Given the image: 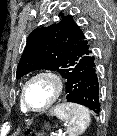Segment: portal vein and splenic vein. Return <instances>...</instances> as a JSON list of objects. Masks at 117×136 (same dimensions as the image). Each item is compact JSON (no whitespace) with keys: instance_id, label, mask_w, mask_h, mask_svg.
Returning <instances> with one entry per match:
<instances>
[{"instance_id":"1","label":"portal vein and splenic vein","mask_w":117,"mask_h":136,"mask_svg":"<svg viewBox=\"0 0 117 136\" xmlns=\"http://www.w3.org/2000/svg\"><path fill=\"white\" fill-rule=\"evenodd\" d=\"M51 136H59L56 132H52Z\"/></svg>"}]
</instances>
